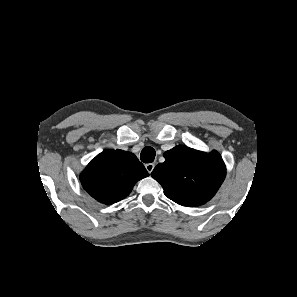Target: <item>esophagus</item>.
Wrapping results in <instances>:
<instances>
[{
	"mask_svg": "<svg viewBox=\"0 0 297 297\" xmlns=\"http://www.w3.org/2000/svg\"><path fill=\"white\" fill-rule=\"evenodd\" d=\"M155 165L153 163H148L145 165L146 170L148 171V173H151L154 169Z\"/></svg>",
	"mask_w": 297,
	"mask_h": 297,
	"instance_id": "34e87169",
	"label": "esophagus"
}]
</instances>
